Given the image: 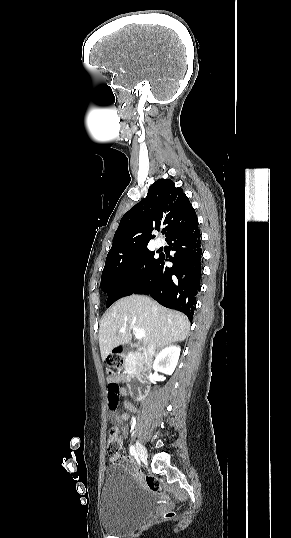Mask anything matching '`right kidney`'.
Listing matches in <instances>:
<instances>
[{"label":"right kidney","mask_w":291,"mask_h":538,"mask_svg":"<svg viewBox=\"0 0 291 538\" xmlns=\"http://www.w3.org/2000/svg\"><path fill=\"white\" fill-rule=\"evenodd\" d=\"M180 351L181 349L178 345H170L164 348L156 357L153 369L156 372L171 375L177 366Z\"/></svg>","instance_id":"obj_1"}]
</instances>
